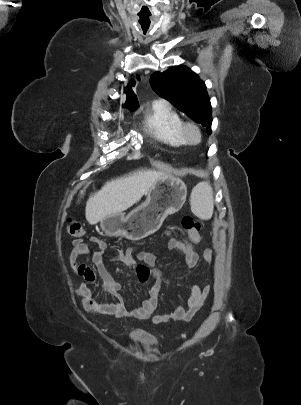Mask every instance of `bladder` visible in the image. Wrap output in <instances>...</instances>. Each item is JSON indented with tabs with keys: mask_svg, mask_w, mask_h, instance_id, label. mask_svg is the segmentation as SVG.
I'll list each match as a JSON object with an SVG mask.
<instances>
[{
	"mask_svg": "<svg viewBox=\"0 0 301 405\" xmlns=\"http://www.w3.org/2000/svg\"><path fill=\"white\" fill-rule=\"evenodd\" d=\"M130 339L133 342L137 343H143V344H155L156 340L155 338L148 332L145 331H132L130 333Z\"/></svg>",
	"mask_w": 301,
	"mask_h": 405,
	"instance_id": "1",
	"label": "bladder"
}]
</instances>
